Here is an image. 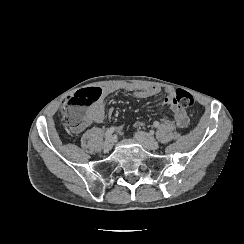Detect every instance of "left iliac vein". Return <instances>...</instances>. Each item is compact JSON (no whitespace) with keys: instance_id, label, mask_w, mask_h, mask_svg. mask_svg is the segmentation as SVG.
<instances>
[{"instance_id":"1","label":"left iliac vein","mask_w":244,"mask_h":244,"mask_svg":"<svg viewBox=\"0 0 244 244\" xmlns=\"http://www.w3.org/2000/svg\"><path fill=\"white\" fill-rule=\"evenodd\" d=\"M136 140L143 145L147 150H155L158 148V142L153 136L148 133L139 131L135 133Z\"/></svg>"}]
</instances>
